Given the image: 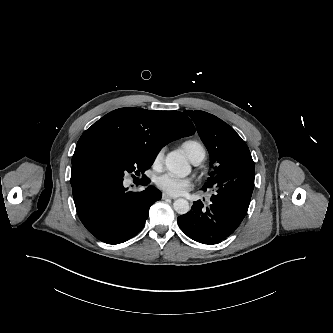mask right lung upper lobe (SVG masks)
<instances>
[{
    "mask_svg": "<svg viewBox=\"0 0 333 333\" xmlns=\"http://www.w3.org/2000/svg\"><path fill=\"white\" fill-rule=\"evenodd\" d=\"M194 133L193 123L181 112L120 108L82 134L72 162L78 159L80 148L91 142H111L158 153L168 143Z\"/></svg>",
    "mask_w": 333,
    "mask_h": 333,
    "instance_id": "obj_1",
    "label": "right lung upper lobe"
}]
</instances>
